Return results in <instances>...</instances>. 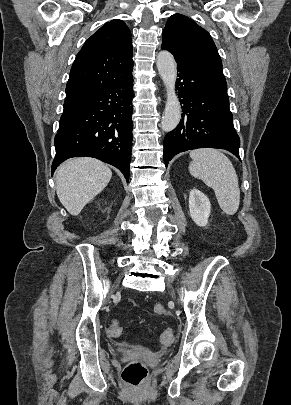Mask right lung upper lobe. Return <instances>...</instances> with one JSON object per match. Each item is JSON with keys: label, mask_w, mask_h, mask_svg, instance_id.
Here are the masks:
<instances>
[{"label": "right lung upper lobe", "mask_w": 291, "mask_h": 405, "mask_svg": "<svg viewBox=\"0 0 291 405\" xmlns=\"http://www.w3.org/2000/svg\"><path fill=\"white\" fill-rule=\"evenodd\" d=\"M131 33L122 20L103 25L83 45L72 65L64 105L129 77L133 69Z\"/></svg>", "instance_id": "obj_1"}]
</instances>
